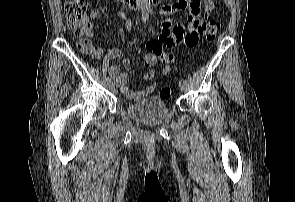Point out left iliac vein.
Segmentation results:
<instances>
[{
	"instance_id": "obj_1",
	"label": "left iliac vein",
	"mask_w": 295,
	"mask_h": 202,
	"mask_svg": "<svg viewBox=\"0 0 295 202\" xmlns=\"http://www.w3.org/2000/svg\"><path fill=\"white\" fill-rule=\"evenodd\" d=\"M180 89H181L182 92L186 93L188 91V89H189L188 84L182 83L180 85Z\"/></svg>"
}]
</instances>
